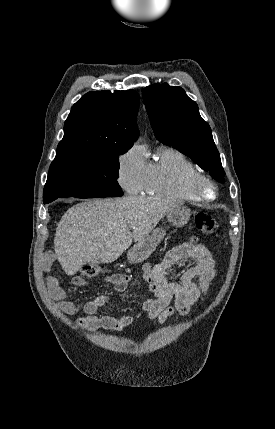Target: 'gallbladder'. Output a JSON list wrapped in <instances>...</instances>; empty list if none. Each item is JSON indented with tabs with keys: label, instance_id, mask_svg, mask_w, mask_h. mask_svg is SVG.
Instances as JSON below:
<instances>
[{
	"label": "gallbladder",
	"instance_id": "gallbladder-1",
	"mask_svg": "<svg viewBox=\"0 0 275 429\" xmlns=\"http://www.w3.org/2000/svg\"><path fill=\"white\" fill-rule=\"evenodd\" d=\"M99 263H100L99 261L91 262V264H92V265H97V264H99Z\"/></svg>",
	"mask_w": 275,
	"mask_h": 429
}]
</instances>
